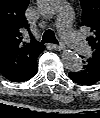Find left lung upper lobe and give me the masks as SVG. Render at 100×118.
<instances>
[{
	"label": "left lung upper lobe",
	"mask_w": 100,
	"mask_h": 118,
	"mask_svg": "<svg viewBox=\"0 0 100 118\" xmlns=\"http://www.w3.org/2000/svg\"><path fill=\"white\" fill-rule=\"evenodd\" d=\"M82 7V26L92 35L87 38L93 49L92 58L100 62V0H80Z\"/></svg>",
	"instance_id": "5c2ea615"
}]
</instances>
